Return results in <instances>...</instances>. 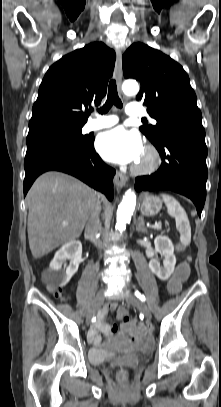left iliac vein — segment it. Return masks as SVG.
Wrapping results in <instances>:
<instances>
[{
  "label": "left iliac vein",
  "instance_id": "1",
  "mask_svg": "<svg viewBox=\"0 0 221 407\" xmlns=\"http://www.w3.org/2000/svg\"><path fill=\"white\" fill-rule=\"evenodd\" d=\"M125 301L137 309H139L146 317L147 321H151L152 315L151 312L148 308V306L140 299H138L136 296L132 294H126L125 295Z\"/></svg>",
  "mask_w": 221,
  "mask_h": 407
}]
</instances>
